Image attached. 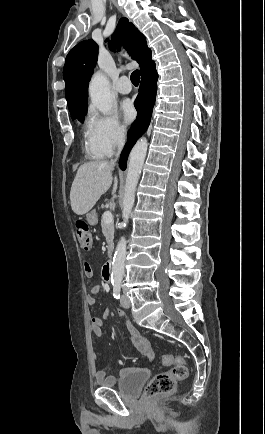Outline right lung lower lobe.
Wrapping results in <instances>:
<instances>
[{"mask_svg":"<svg viewBox=\"0 0 265 434\" xmlns=\"http://www.w3.org/2000/svg\"><path fill=\"white\" fill-rule=\"evenodd\" d=\"M141 84L139 94L135 100L138 111L137 119L128 134V142L122 151L119 165L122 170L126 169L128 154L137 139L147 130L156 98L157 72L152 58L145 60L140 66Z\"/></svg>","mask_w":265,"mask_h":434,"instance_id":"right-lung-lower-lobe-1","label":"right lung lower lobe"}]
</instances>
